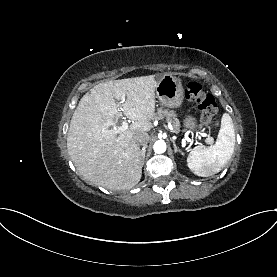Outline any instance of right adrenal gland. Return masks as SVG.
<instances>
[{"label": "right adrenal gland", "mask_w": 277, "mask_h": 277, "mask_svg": "<svg viewBox=\"0 0 277 277\" xmlns=\"http://www.w3.org/2000/svg\"><path fill=\"white\" fill-rule=\"evenodd\" d=\"M146 148H147V146H144V147L141 149V165H142V166H143L144 160H145Z\"/></svg>", "instance_id": "obj_1"}]
</instances>
